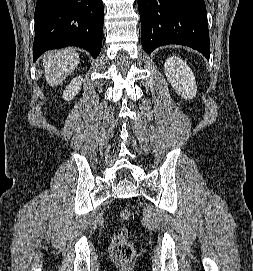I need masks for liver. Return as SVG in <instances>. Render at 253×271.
I'll list each match as a JSON object with an SVG mask.
<instances>
[{
	"mask_svg": "<svg viewBox=\"0 0 253 271\" xmlns=\"http://www.w3.org/2000/svg\"><path fill=\"white\" fill-rule=\"evenodd\" d=\"M79 62L78 53L70 48L46 53L43 59L46 82L52 87L60 85Z\"/></svg>",
	"mask_w": 253,
	"mask_h": 271,
	"instance_id": "obj_1",
	"label": "liver"
}]
</instances>
